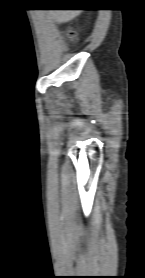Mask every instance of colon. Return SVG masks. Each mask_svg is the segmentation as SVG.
<instances>
[{"instance_id": "obj_1", "label": "colon", "mask_w": 145, "mask_h": 278, "mask_svg": "<svg viewBox=\"0 0 145 278\" xmlns=\"http://www.w3.org/2000/svg\"><path fill=\"white\" fill-rule=\"evenodd\" d=\"M68 37H69V39H70L72 42L75 41V34H74L72 31H70V32L68 33Z\"/></svg>"}]
</instances>
